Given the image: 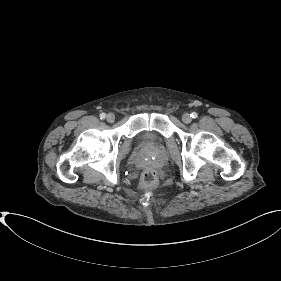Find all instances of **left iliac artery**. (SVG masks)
Masks as SVG:
<instances>
[{
    "instance_id": "1",
    "label": "left iliac artery",
    "mask_w": 281,
    "mask_h": 281,
    "mask_svg": "<svg viewBox=\"0 0 281 281\" xmlns=\"http://www.w3.org/2000/svg\"><path fill=\"white\" fill-rule=\"evenodd\" d=\"M190 116H191L192 118H197V117H198V114H197L196 112H193L192 114H190Z\"/></svg>"
}]
</instances>
